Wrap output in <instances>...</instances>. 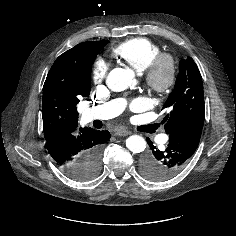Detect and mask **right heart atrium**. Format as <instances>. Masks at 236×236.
I'll list each match as a JSON object with an SVG mask.
<instances>
[{
  "label": "right heart atrium",
  "instance_id": "d8ad5b80",
  "mask_svg": "<svg viewBox=\"0 0 236 236\" xmlns=\"http://www.w3.org/2000/svg\"><path fill=\"white\" fill-rule=\"evenodd\" d=\"M108 72V64L102 59L98 58L92 66V80L95 84H100L106 77Z\"/></svg>",
  "mask_w": 236,
  "mask_h": 236
}]
</instances>
